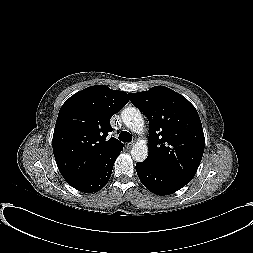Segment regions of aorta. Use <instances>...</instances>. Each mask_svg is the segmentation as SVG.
Segmentation results:
<instances>
[{
	"label": "aorta",
	"mask_w": 253,
	"mask_h": 253,
	"mask_svg": "<svg viewBox=\"0 0 253 253\" xmlns=\"http://www.w3.org/2000/svg\"><path fill=\"white\" fill-rule=\"evenodd\" d=\"M123 123L134 133L144 131V118L135 107H127L121 113ZM131 156L136 162H143L148 156V146L145 141H139L131 149Z\"/></svg>",
	"instance_id": "762f6f07"
}]
</instances>
